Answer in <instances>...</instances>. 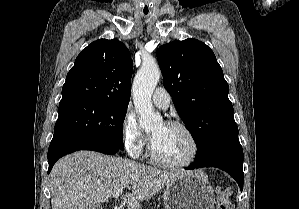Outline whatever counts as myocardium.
<instances>
[{"instance_id":"f54148a6","label":"myocardium","mask_w":299,"mask_h":209,"mask_svg":"<svg viewBox=\"0 0 299 209\" xmlns=\"http://www.w3.org/2000/svg\"><path fill=\"white\" fill-rule=\"evenodd\" d=\"M164 125L171 127V128L180 129L184 133H186V135L189 137V139L191 140V143H192L191 155L183 162H167V161L161 160L160 158H158L156 156L152 142L150 141L149 145H148V156H149L151 162L158 167L169 168V169L185 168V167L192 165L196 161V159L199 155V152H200L199 141H198L196 135L194 134V132L186 124H184L180 121L169 120V121H165Z\"/></svg>"}]
</instances>
